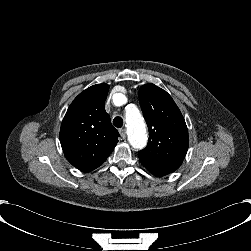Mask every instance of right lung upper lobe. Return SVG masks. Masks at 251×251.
I'll use <instances>...</instances> for the list:
<instances>
[{
  "label": "right lung upper lobe",
  "mask_w": 251,
  "mask_h": 251,
  "mask_svg": "<svg viewBox=\"0 0 251 251\" xmlns=\"http://www.w3.org/2000/svg\"><path fill=\"white\" fill-rule=\"evenodd\" d=\"M109 85H93L69 106L60 129V143L67 160L82 172L99 167L112 153L119 133L105 111Z\"/></svg>",
  "instance_id": "right-lung-upper-lobe-1"
}]
</instances>
